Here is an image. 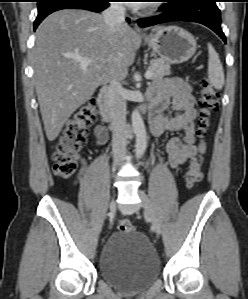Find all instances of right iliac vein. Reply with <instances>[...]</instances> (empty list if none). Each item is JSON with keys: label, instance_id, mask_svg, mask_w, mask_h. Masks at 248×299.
I'll list each match as a JSON object with an SVG mask.
<instances>
[{"label": "right iliac vein", "instance_id": "1", "mask_svg": "<svg viewBox=\"0 0 248 299\" xmlns=\"http://www.w3.org/2000/svg\"><path fill=\"white\" fill-rule=\"evenodd\" d=\"M114 207H115V203H114V201H111L110 208L113 209Z\"/></svg>", "mask_w": 248, "mask_h": 299}]
</instances>
